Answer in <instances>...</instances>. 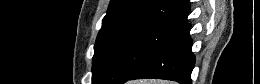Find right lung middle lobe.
<instances>
[{
  "instance_id": "obj_1",
  "label": "right lung middle lobe",
  "mask_w": 260,
  "mask_h": 84,
  "mask_svg": "<svg viewBox=\"0 0 260 84\" xmlns=\"http://www.w3.org/2000/svg\"><path fill=\"white\" fill-rule=\"evenodd\" d=\"M178 28L138 24L96 40L93 84H122L149 60Z\"/></svg>"
}]
</instances>
